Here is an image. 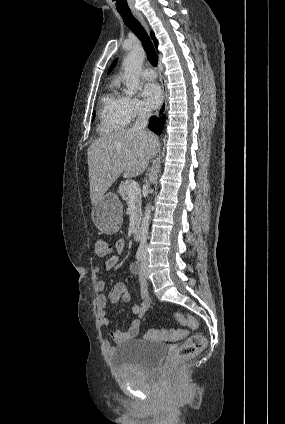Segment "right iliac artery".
Masks as SVG:
<instances>
[{
  "label": "right iliac artery",
  "mask_w": 285,
  "mask_h": 424,
  "mask_svg": "<svg viewBox=\"0 0 285 424\" xmlns=\"http://www.w3.org/2000/svg\"><path fill=\"white\" fill-rule=\"evenodd\" d=\"M143 257H144V250L142 248H139L137 253H136L137 261L138 262L141 261L143 259Z\"/></svg>",
  "instance_id": "obj_1"
}]
</instances>
